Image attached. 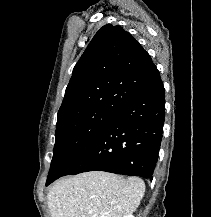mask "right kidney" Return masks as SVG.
I'll return each instance as SVG.
<instances>
[{
    "label": "right kidney",
    "mask_w": 211,
    "mask_h": 217,
    "mask_svg": "<svg viewBox=\"0 0 211 217\" xmlns=\"http://www.w3.org/2000/svg\"><path fill=\"white\" fill-rule=\"evenodd\" d=\"M124 217H134L132 214L125 215Z\"/></svg>",
    "instance_id": "ca27d5eb"
}]
</instances>
